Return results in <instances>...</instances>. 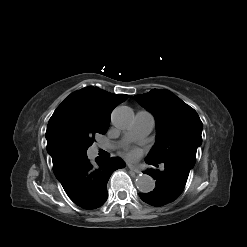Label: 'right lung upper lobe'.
I'll list each match as a JSON object with an SVG mask.
<instances>
[{
    "label": "right lung upper lobe",
    "instance_id": "1",
    "mask_svg": "<svg viewBox=\"0 0 247 247\" xmlns=\"http://www.w3.org/2000/svg\"><path fill=\"white\" fill-rule=\"evenodd\" d=\"M127 98L128 95L91 86L70 94L54 111L47 126V151L53 164L63 158H78L68 148L67 137L85 132L106 133L113 108Z\"/></svg>",
    "mask_w": 247,
    "mask_h": 247
}]
</instances>
